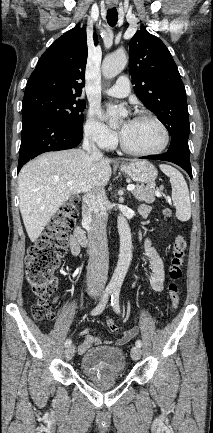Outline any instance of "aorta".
I'll use <instances>...</instances> for the list:
<instances>
[{"mask_svg":"<svg viewBox=\"0 0 213 433\" xmlns=\"http://www.w3.org/2000/svg\"><path fill=\"white\" fill-rule=\"evenodd\" d=\"M127 64V56L124 52L119 51L108 55L102 63V73L104 77L110 79L120 74ZM108 110L113 113H122L123 108L109 105ZM117 226L120 237L119 259L109 283L112 288H120L127 274L128 268L132 260V238L129 224L126 218L119 215L117 218Z\"/></svg>","mask_w":213,"mask_h":433,"instance_id":"762f6f07","label":"aorta"}]
</instances>
